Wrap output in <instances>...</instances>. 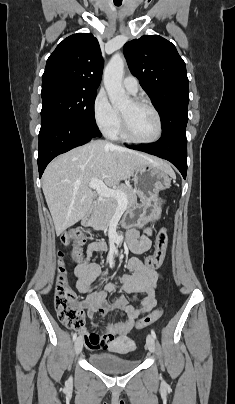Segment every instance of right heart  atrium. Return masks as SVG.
Instances as JSON below:
<instances>
[{
    "label": "right heart atrium",
    "mask_w": 235,
    "mask_h": 404,
    "mask_svg": "<svg viewBox=\"0 0 235 404\" xmlns=\"http://www.w3.org/2000/svg\"><path fill=\"white\" fill-rule=\"evenodd\" d=\"M93 117L99 129L106 135L112 134L120 123L119 112L111 105L107 94L100 90L93 101Z\"/></svg>",
    "instance_id": "d8ad5b80"
}]
</instances>
